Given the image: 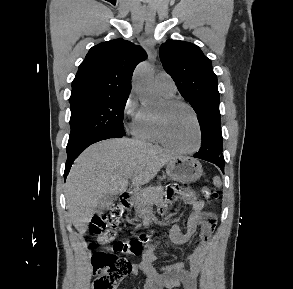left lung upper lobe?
Instances as JSON below:
<instances>
[{"instance_id":"5c2ea615","label":"left lung upper lobe","mask_w":293,"mask_h":289,"mask_svg":"<svg viewBox=\"0 0 293 289\" xmlns=\"http://www.w3.org/2000/svg\"><path fill=\"white\" fill-rule=\"evenodd\" d=\"M165 71L197 113L200 128L221 125L217 76L211 60L190 42L167 40L159 50ZM222 153V152H221ZM220 153L214 156L219 157Z\"/></svg>"}]
</instances>
